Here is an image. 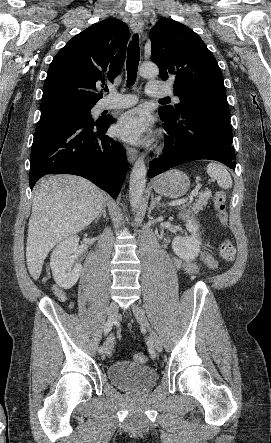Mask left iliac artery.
<instances>
[{
  "instance_id": "obj_1",
  "label": "left iliac artery",
  "mask_w": 271,
  "mask_h": 443,
  "mask_svg": "<svg viewBox=\"0 0 271 443\" xmlns=\"http://www.w3.org/2000/svg\"><path fill=\"white\" fill-rule=\"evenodd\" d=\"M146 344H147L148 351H149V353H150L151 358H155V357H156V353H155V350H154L153 340H152V337H151V336H149V337L147 338V340H146Z\"/></svg>"
}]
</instances>
